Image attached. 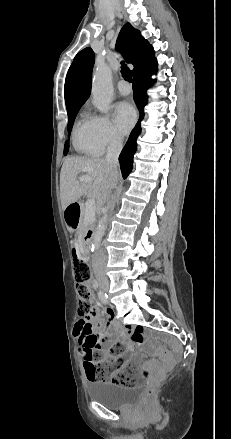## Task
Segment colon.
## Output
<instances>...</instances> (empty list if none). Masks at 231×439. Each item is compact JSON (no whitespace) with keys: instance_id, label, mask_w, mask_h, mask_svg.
Returning <instances> with one entry per match:
<instances>
[{"instance_id":"colon-1","label":"colon","mask_w":231,"mask_h":439,"mask_svg":"<svg viewBox=\"0 0 231 439\" xmlns=\"http://www.w3.org/2000/svg\"><path fill=\"white\" fill-rule=\"evenodd\" d=\"M73 272L76 282V290L79 295L78 314L81 317H87L92 310L91 293L89 283L92 272L87 262L82 259L76 250L73 253ZM113 354L120 352V347L115 346L111 349ZM84 368L87 378L90 381H103L110 379L111 382L122 385L131 386L137 383L138 378L131 367H119L115 372L110 373L114 367V361H102L97 350L87 348L83 354ZM156 383L147 380V388L143 395V401L148 402L155 391Z\"/></svg>"}]
</instances>
